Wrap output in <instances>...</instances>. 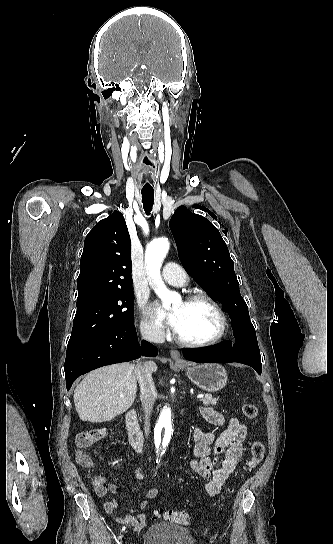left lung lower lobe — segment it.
Here are the masks:
<instances>
[{
	"instance_id": "obj_1",
	"label": "left lung lower lobe",
	"mask_w": 333,
	"mask_h": 544,
	"mask_svg": "<svg viewBox=\"0 0 333 544\" xmlns=\"http://www.w3.org/2000/svg\"><path fill=\"white\" fill-rule=\"evenodd\" d=\"M185 359L195 362H239L253 367L258 374L262 372L261 357L258 345L255 348L240 349L236 352L226 342L203 349H183Z\"/></svg>"
}]
</instances>
